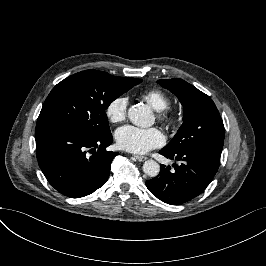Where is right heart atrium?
Listing matches in <instances>:
<instances>
[{"label":"right heart atrium","instance_id":"d8ad5b80","mask_svg":"<svg viewBox=\"0 0 266 266\" xmlns=\"http://www.w3.org/2000/svg\"><path fill=\"white\" fill-rule=\"evenodd\" d=\"M129 107V98L118 95L112 98L105 107V115L110 123H119L126 119Z\"/></svg>","mask_w":266,"mask_h":266}]
</instances>
